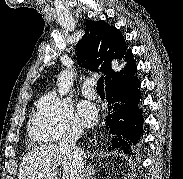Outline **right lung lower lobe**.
Wrapping results in <instances>:
<instances>
[{"label": "right lung lower lobe", "mask_w": 183, "mask_h": 179, "mask_svg": "<svg viewBox=\"0 0 183 179\" xmlns=\"http://www.w3.org/2000/svg\"><path fill=\"white\" fill-rule=\"evenodd\" d=\"M136 70L135 66L130 72L106 84L107 101L113 109L105 119L106 128L114 134L108 150L121 149L130 153L132 145L140 139L143 117L142 110L138 108L141 94L138 90L140 82L134 76Z\"/></svg>", "instance_id": "98d812e1"}]
</instances>
